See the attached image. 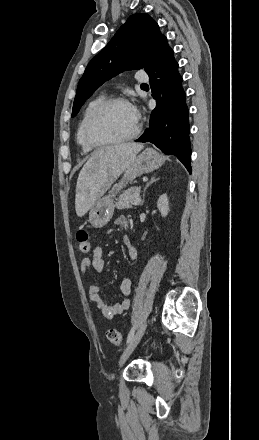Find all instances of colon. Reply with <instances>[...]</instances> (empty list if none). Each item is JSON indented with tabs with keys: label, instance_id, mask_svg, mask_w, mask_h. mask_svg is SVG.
Masks as SVG:
<instances>
[{
	"label": "colon",
	"instance_id": "5ec220e1",
	"mask_svg": "<svg viewBox=\"0 0 259 440\" xmlns=\"http://www.w3.org/2000/svg\"><path fill=\"white\" fill-rule=\"evenodd\" d=\"M77 250L81 254H87L92 249V243L87 231L79 230L76 235ZM108 341L115 346H121L123 343V336L117 329L111 328L107 331Z\"/></svg>",
	"mask_w": 259,
	"mask_h": 440
}]
</instances>
